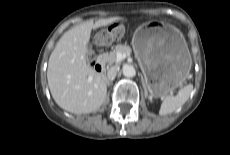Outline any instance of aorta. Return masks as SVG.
Returning a JSON list of instances; mask_svg holds the SVG:
<instances>
[{
    "label": "aorta",
    "instance_id": "762f6f07",
    "mask_svg": "<svg viewBox=\"0 0 230 155\" xmlns=\"http://www.w3.org/2000/svg\"><path fill=\"white\" fill-rule=\"evenodd\" d=\"M122 71L125 77H133L136 74L135 68L132 65H124Z\"/></svg>",
    "mask_w": 230,
    "mask_h": 155
}]
</instances>
